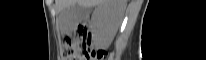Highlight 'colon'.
I'll return each mask as SVG.
<instances>
[{"instance_id":"1","label":"colon","mask_w":206,"mask_h":60,"mask_svg":"<svg viewBox=\"0 0 206 60\" xmlns=\"http://www.w3.org/2000/svg\"><path fill=\"white\" fill-rule=\"evenodd\" d=\"M106 53L91 47V38L87 25L77 27L73 37L67 36L63 45V56L66 60H99Z\"/></svg>"}]
</instances>
